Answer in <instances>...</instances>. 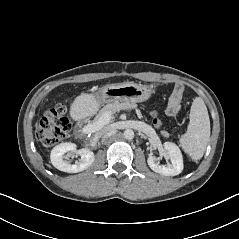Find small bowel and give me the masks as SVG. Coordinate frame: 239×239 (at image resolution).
Segmentation results:
<instances>
[{
  "label": "small bowel",
  "instance_id": "c3829d8e",
  "mask_svg": "<svg viewBox=\"0 0 239 239\" xmlns=\"http://www.w3.org/2000/svg\"><path fill=\"white\" fill-rule=\"evenodd\" d=\"M182 94V87L176 86L173 92V95L169 101L167 106V114L170 116H175L180 109V97Z\"/></svg>",
  "mask_w": 239,
  "mask_h": 239
}]
</instances>
